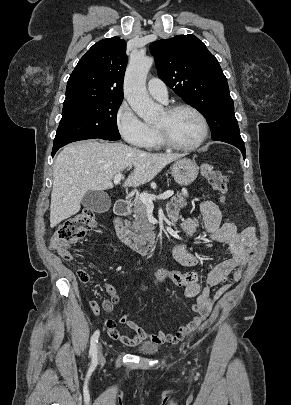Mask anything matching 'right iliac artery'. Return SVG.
I'll list each match as a JSON object with an SVG mask.
<instances>
[{
  "label": "right iliac artery",
  "mask_w": 291,
  "mask_h": 405,
  "mask_svg": "<svg viewBox=\"0 0 291 405\" xmlns=\"http://www.w3.org/2000/svg\"><path fill=\"white\" fill-rule=\"evenodd\" d=\"M99 335H100L99 330H96L94 332V334L92 335V337H91V344H90L89 354L93 358L97 357V343H98Z\"/></svg>",
  "instance_id": "right-iliac-artery-1"
}]
</instances>
